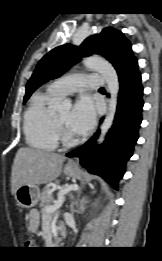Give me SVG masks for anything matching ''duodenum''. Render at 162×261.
<instances>
[{
	"label": "duodenum",
	"instance_id": "1",
	"mask_svg": "<svg viewBox=\"0 0 162 261\" xmlns=\"http://www.w3.org/2000/svg\"><path fill=\"white\" fill-rule=\"evenodd\" d=\"M65 235H66V232H65L64 228L60 227L58 229V236L57 237L58 238H63Z\"/></svg>",
	"mask_w": 162,
	"mask_h": 261
}]
</instances>
